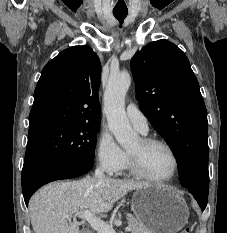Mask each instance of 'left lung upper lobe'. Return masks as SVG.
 <instances>
[{
    "label": "left lung upper lobe",
    "mask_w": 227,
    "mask_h": 233,
    "mask_svg": "<svg viewBox=\"0 0 227 233\" xmlns=\"http://www.w3.org/2000/svg\"><path fill=\"white\" fill-rule=\"evenodd\" d=\"M131 71L140 109L170 146L182 186L208 195L207 111L188 58L158 40L133 56Z\"/></svg>",
    "instance_id": "left-lung-upper-lobe-1"
}]
</instances>
